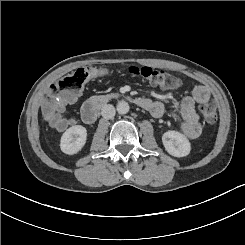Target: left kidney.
<instances>
[{"instance_id": "1", "label": "left kidney", "mask_w": 245, "mask_h": 245, "mask_svg": "<svg viewBox=\"0 0 245 245\" xmlns=\"http://www.w3.org/2000/svg\"><path fill=\"white\" fill-rule=\"evenodd\" d=\"M162 143L168 154L183 158L191 153V143L187 136L179 131L169 130L162 135Z\"/></svg>"}]
</instances>
